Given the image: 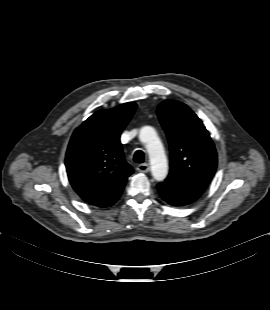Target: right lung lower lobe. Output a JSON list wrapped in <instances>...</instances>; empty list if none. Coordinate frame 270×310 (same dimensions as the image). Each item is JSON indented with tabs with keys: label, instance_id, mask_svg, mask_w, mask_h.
<instances>
[{
	"label": "right lung lower lobe",
	"instance_id": "obj_1",
	"mask_svg": "<svg viewBox=\"0 0 270 310\" xmlns=\"http://www.w3.org/2000/svg\"><path fill=\"white\" fill-rule=\"evenodd\" d=\"M123 190H121L120 192H118L117 194L111 196L110 198H108L107 200H105L104 202H102L101 204L97 205L99 207H108L113 205L120 197L121 193Z\"/></svg>",
	"mask_w": 270,
	"mask_h": 310
}]
</instances>
